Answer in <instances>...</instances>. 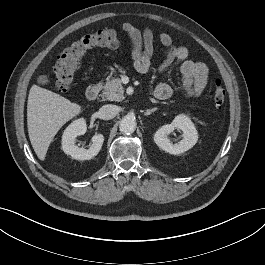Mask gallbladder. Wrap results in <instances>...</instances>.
<instances>
[{
    "mask_svg": "<svg viewBox=\"0 0 265 265\" xmlns=\"http://www.w3.org/2000/svg\"><path fill=\"white\" fill-rule=\"evenodd\" d=\"M37 81L39 84L41 85H47L50 83V78L49 76L47 75H40L38 78H37Z\"/></svg>",
    "mask_w": 265,
    "mask_h": 265,
    "instance_id": "1",
    "label": "gallbladder"
}]
</instances>
